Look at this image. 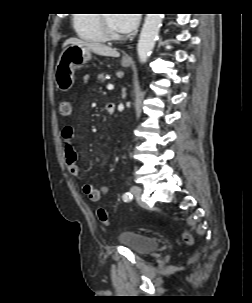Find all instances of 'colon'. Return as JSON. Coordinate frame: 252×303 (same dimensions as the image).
<instances>
[{
	"label": "colon",
	"instance_id": "obj_1",
	"mask_svg": "<svg viewBox=\"0 0 252 303\" xmlns=\"http://www.w3.org/2000/svg\"><path fill=\"white\" fill-rule=\"evenodd\" d=\"M59 112H60L61 116L68 117L72 112L71 102L69 100H62L59 104ZM96 213H97L98 219L101 222L106 223L108 221V213L106 212V210L104 208L98 207L97 210H96ZM182 237H183V240L187 244H192L193 243V238L189 233L184 232L182 234Z\"/></svg>",
	"mask_w": 252,
	"mask_h": 303
}]
</instances>
